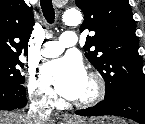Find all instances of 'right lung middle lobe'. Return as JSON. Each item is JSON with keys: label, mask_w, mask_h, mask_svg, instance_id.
Masks as SVG:
<instances>
[{"label": "right lung middle lobe", "mask_w": 145, "mask_h": 124, "mask_svg": "<svg viewBox=\"0 0 145 124\" xmlns=\"http://www.w3.org/2000/svg\"><path fill=\"white\" fill-rule=\"evenodd\" d=\"M23 68L19 55L0 53V84L22 85L25 77L18 67Z\"/></svg>", "instance_id": "1"}]
</instances>
